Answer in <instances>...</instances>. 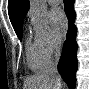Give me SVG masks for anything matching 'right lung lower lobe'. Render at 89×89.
Returning a JSON list of instances; mask_svg holds the SVG:
<instances>
[{"instance_id": "right-lung-lower-lobe-1", "label": "right lung lower lobe", "mask_w": 89, "mask_h": 89, "mask_svg": "<svg viewBox=\"0 0 89 89\" xmlns=\"http://www.w3.org/2000/svg\"><path fill=\"white\" fill-rule=\"evenodd\" d=\"M65 12L69 20V30L64 42L61 58L58 64V71L64 82L70 89H74L76 85V71H77V43L76 34L77 29L74 25L75 11L73 8L74 0H63Z\"/></svg>"}]
</instances>
